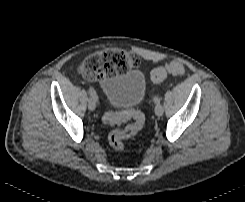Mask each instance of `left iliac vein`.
Segmentation results:
<instances>
[{
  "label": "left iliac vein",
  "instance_id": "obj_1",
  "mask_svg": "<svg viewBox=\"0 0 245 202\" xmlns=\"http://www.w3.org/2000/svg\"><path fill=\"white\" fill-rule=\"evenodd\" d=\"M164 113V107L161 104L156 105L155 107V114L160 117Z\"/></svg>",
  "mask_w": 245,
  "mask_h": 202
}]
</instances>
